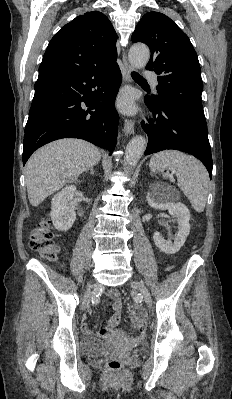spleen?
<instances>
[{"label": "spleen", "instance_id": "obj_1", "mask_svg": "<svg viewBox=\"0 0 232 399\" xmlns=\"http://www.w3.org/2000/svg\"><path fill=\"white\" fill-rule=\"evenodd\" d=\"M149 168L152 172H174L178 178V188L190 200L192 207L196 211H203L210 182L208 172L199 160L177 150H164L152 156ZM163 178H169L168 174H163Z\"/></svg>", "mask_w": 232, "mask_h": 399}]
</instances>
